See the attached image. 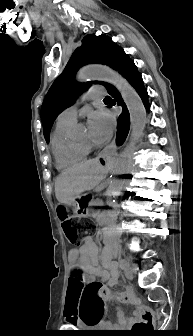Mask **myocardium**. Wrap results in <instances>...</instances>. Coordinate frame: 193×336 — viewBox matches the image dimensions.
<instances>
[{"mask_svg": "<svg viewBox=\"0 0 193 336\" xmlns=\"http://www.w3.org/2000/svg\"><path fill=\"white\" fill-rule=\"evenodd\" d=\"M81 144H83L84 146H87V147H91L92 144L90 141H85V142H81Z\"/></svg>", "mask_w": 193, "mask_h": 336, "instance_id": "1", "label": "myocardium"}]
</instances>
